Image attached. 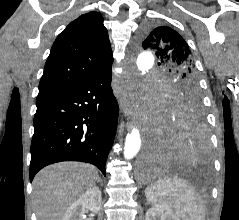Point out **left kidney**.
<instances>
[{
  "instance_id": "obj_1",
  "label": "left kidney",
  "mask_w": 239,
  "mask_h": 220,
  "mask_svg": "<svg viewBox=\"0 0 239 220\" xmlns=\"http://www.w3.org/2000/svg\"><path fill=\"white\" fill-rule=\"evenodd\" d=\"M145 220H180V219L172 212H164L163 210L158 209L156 207H151L146 212Z\"/></svg>"
}]
</instances>
